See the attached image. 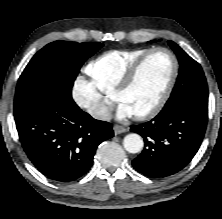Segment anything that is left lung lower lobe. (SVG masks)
<instances>
[{
  "label": "left lung lower lobe",
  "instance_id": "left-lung-lower-lobe-1",
  "mask_svg": "<svg viewBox=\"0 0 222 219\" xmlns=\"http://www.w3.org/2000/svg\"><path fill=\"white\" fill-rule=\"evenodd\" d=\"M208 120V104L190 98L167 103L151 121L131 127L146 147L132 161L151 178L166 177L183 169L198 151Z\"/></svg>",
  "mask_w": 222,
  "mask_h": 219
}]
</instances>
